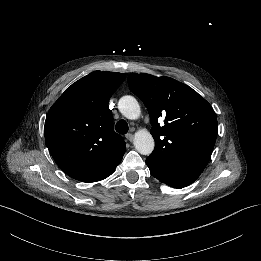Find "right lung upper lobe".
I'll return each mask as SVG.
<instances>
[{
    "label": "right lung upper lobe",
    "mask_w": 261,
    "mask_h": 261,
    "mask_svg": "<svg viewBox=\"0 0 261 261\" xmlns=\"http://www.w3.org/2000/svg\"><path fill=\"white\" fill-rule=\"evenodd\" d=\"M124 79L122 73L91 72L50 108L44 127L46 145L70 177L95 182L120 163L126 143L113 129L108 102Z\"/></svg>",
    "instance_id": "cb5924a9"
}]
</instances>
